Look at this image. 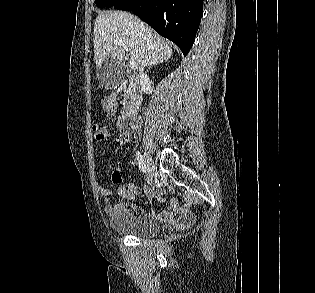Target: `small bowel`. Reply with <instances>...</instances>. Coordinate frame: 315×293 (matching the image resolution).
I'll use <instances>...</instances> for the list:
<instances>
[{
    "mask_svg": "<svg viewBox=\"0 0 315 293\" xmlns=\"http://www.w3.org/2000/svg\"><path fill=\"white\" fill-rule=\"evenodd\" d=\"M130 135L126 133H120L114 136L111 141L115 144L124 145L129 141ZM126 188L129 190L122 191V197L124 202L112 203V192L109 188L105 187L101 183H97V189L99 193L103 196V201L105 203V209L108 214H116L122 213L126 211H131L134 213H141V208L137 207L133 202L136 201V188L134 185H125ZM164 192L163 187L155 186L152 189V196L159 198L161 201L162 194ZM152 216L158 218L162 222L166 224H174L178 228H185L191 226L194 221L195 217L185 208H183L179 200L177 198L171 199L166 207L165 210L161 211L160 213H151Z\"/></svg>",
    "mask_w": 315,
    "mask_h": 293,
    "instance_id": "1",
    "label": "small bowel"
}]
</instances>
